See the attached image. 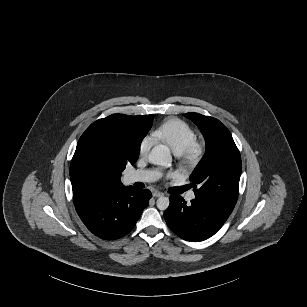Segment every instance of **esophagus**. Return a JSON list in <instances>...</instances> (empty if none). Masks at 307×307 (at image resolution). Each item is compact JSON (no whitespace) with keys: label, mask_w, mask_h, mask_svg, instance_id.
I'll return each instance as SVG.
<instances>
[{"label":"esophagus","mask_w":307,"mask_h":307,"mask_svg":"<svg viewBox=\"0 0 307 307\" xmlns=\"http://www.w3.org/2000/svg\"><path fill=\"white\" fill-rule=\"evenodd\" d=\"M164 194L161 192V191H158V190H156V191H154L153 192V196L154 197H161V196H163Z\"/></svg>","instance_id":"1"}]
</instances>
